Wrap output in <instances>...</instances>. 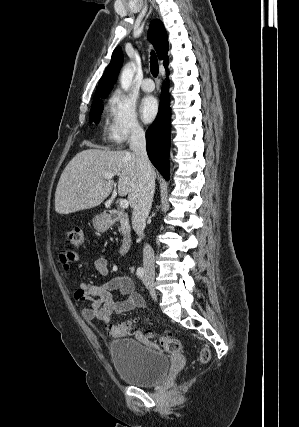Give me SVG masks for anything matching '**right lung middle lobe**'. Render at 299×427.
<instances>
[{
	"mask_svg": "<svg viewBox=\"0 0 299 427\" xmlns=\"http://www.w3.org/2000/svg\"><path fill=\"white\" fill-rule=\"evenodd\" d=\"M106 96H103L102 98H105ZM101 97L95 98L92 102L91 111H90V120L94 122L99 121L100 113L102 112L103 106H102V100Z\"/></svg>",
	"mask_w": 299,
	"mask_h": 427,
	"instance_id": "obj_1",
	"label": "right lung middle lobe"
}]
</instances>
